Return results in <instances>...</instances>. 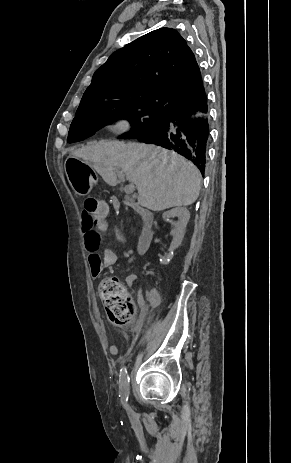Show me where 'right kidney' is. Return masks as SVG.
<instances>
[{
	"mask_svg": "<svg viewBox=\"0 0 291 463\" xmlns=\"http://www.w3.org/2000/svg\"><path fill=\"white\" fill-rule=\"evenodd\" d=\"M177 217L178 221L174 224V229L171 234L173 240L170 246V252L172 253L181 244L187 223L190 219V212L186 208H173L163 214V219L168 220L169 218Z\"/></svg>",
	"mask_w": 291,
	"mask_h": 463,
	"instance_id": "ca27d5eb",
	"label": "right kidney"
}]
</instances>
